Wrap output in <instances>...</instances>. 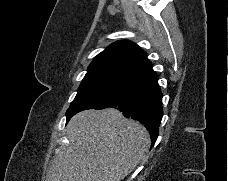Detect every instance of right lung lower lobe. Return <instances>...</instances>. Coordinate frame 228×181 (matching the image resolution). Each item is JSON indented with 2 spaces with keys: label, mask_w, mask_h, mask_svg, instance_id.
<instances>
[{
  "label": "right lung lower lobe",
  "mask_w": 228,
  "mask_h": 181,
  "mask_svg": "<svg viewBox=\"0 0 228 181\" xmlns=\"http://www.w3.org/2000/svg\"><path fill=\"white\" fill-rule=\"evenodd\" d=\"M157 80V74L151 69L131 80L114 98L93 109L116 108L123 112L125 117L138 120L149 131L153 146L163 116V95Z\"/></svg>",
  "instance_id": "1"
}]
</instances>
